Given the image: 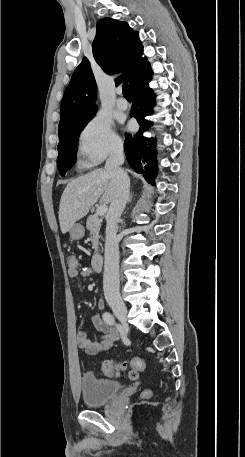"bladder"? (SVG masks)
Segmentation results:
<instances>
[{
  "instance_id": "1",
  "label": "bladder",
  "mask_w": 245,
  "mask_h": 457,
  "mask_svg": "<svg viewBox=\"0 0 245 457\" xmlns=\"http://www.w3.org/2000/svg\"><path fill=\"white\" fill-rule=\"evenodd\" d=\"M82 393L86 406H97L108 403L113 395L120 391L119 382L112 380H99L92 374H85L81 380Z\"/></svg>"
}]
</instances>
